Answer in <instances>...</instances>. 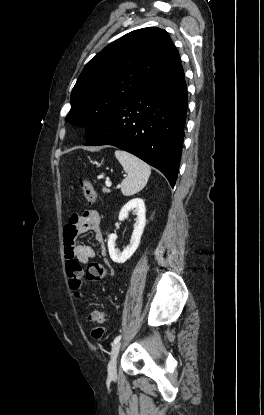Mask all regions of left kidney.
I'll return each mask as SVG.
<instances>
[{"mask_svg":"<svg viewBox=\"0 0 264 415\" xmlns=\"http://www.w3.org/2000/svg\"><path fill=\"white\" fill-rule=\"evenodd\" d=\"M130 211H132L133 214L137 215L136 222L134 224V231L130 239V244L126 246V248H124V250L121 252L115 248L117 236L115 234H110L108 238L109 255L114 262L120 264L126 262L138 248L146 224V208L144 201L141 198H134L128 201L120 210L119 220L122 221L126 219Z\"/></svg>","mask_w":264,"mask_h":415,"instance_id":"1","label":"left kidney"}]
</instances>
